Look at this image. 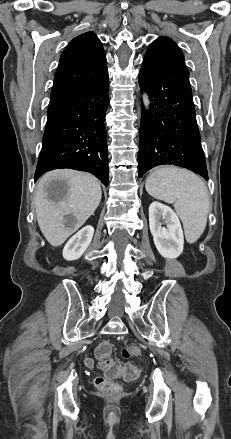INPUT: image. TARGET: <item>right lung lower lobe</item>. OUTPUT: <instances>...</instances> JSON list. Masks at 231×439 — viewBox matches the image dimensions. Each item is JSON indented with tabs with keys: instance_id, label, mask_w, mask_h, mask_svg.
<instances>
[{
	"instance_id": "98d812e1",
	"label": "right lung lower lobe",
	"mask_w": 231,
	"mask_h": 439,
	"mask_svg": "<svg viewBox=\"0 0 231 439\" xmlns=\"http://www.w3.org/2000/svg\"><path fill=\"white\" fill-rule=\"evenodd\" d=\"M108 104V75L49 104L35 181L47 171L70 168L90 172L108 186Z\"/></svg>"
}]
</instances>
